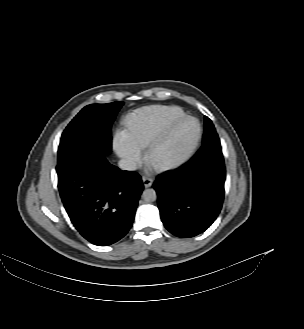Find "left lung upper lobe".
<instances>
[{
	"label": "left lung upper lobe",
	"mask_w": 304,
	"mask_h": 329,
	"mask_svg": "<svg viewBox=\"0 0 304 329\" xmlns=\"http://www.w3.org/2000/svg\"><path fill=\"white\" fill-rule=\"evenodd\" d=\"M215 133L216 131L212 121L208 117H205L203 142L206 141L211 135Z\"/></svg>",
	"instance_id": "5c2ea615"
}]
</instances>
